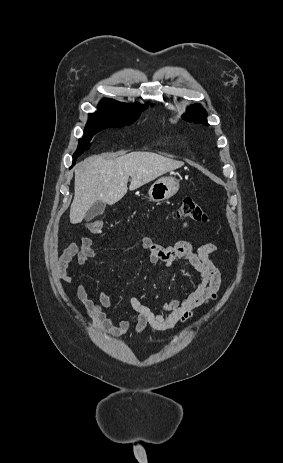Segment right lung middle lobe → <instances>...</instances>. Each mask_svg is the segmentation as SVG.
Instances as JSON below:
<instances>
[{"mask_svg": "<svg viewBox=\"0 0 283 463\" xmlns=\"http://www.w3.org/2000/svg\"><path fill=\"white\" fill-rule=\"evenodd\" d=\"M146 106L101 105L96 113L89 114L83 138L78 142V148L73 158L80 156L90 147L91 138L98 132L109 127H124L136 121Z\"/></svg>", "mask_w": 283, "mask_h": 463, "instance_id": "dd1d6c3e", "label": "right lung middle lobe"}]
</instances>
